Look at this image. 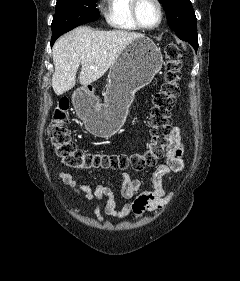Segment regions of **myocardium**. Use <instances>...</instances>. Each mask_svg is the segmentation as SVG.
<instances>
[{
	"instance_id": "f54148a6",
	"label": "myocardium",
	"mask_w": 240,
	"mask_h": 281,
	"mask_svg": "<svg viewBox=\"0 0 240 281\" xmlns=\"http://www.w3.org/2000/svg\"><path fill=\"white\" fill-rule=\"evenodd\" d=\"M141 0H132V4H131V15L133 18V21L135 22V24L143 30H154L157 29L158 27H160V25L162 24L163 20H164V8H163V4L160 0H153V2L157 5L158 11H159V19L158 22L153 25V26H146L144 25L139 17V4H140Z\"/></svg>"
}]
</instances>
